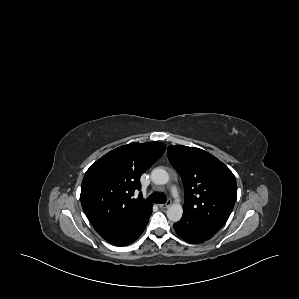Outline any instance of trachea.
Returning <instances> with one entry per match:
<instances>
[{"label": "trachea", "mask_w": 299, "mask_h": 299, "mask_svg": "<svg viewBox=\"0 0 299 299\" xmlns=\"http://www.w3.org/2000/svg\"><path fill=\"white\" fill-rule=\"evenodd\" d=\"M147 200L149 202H152V203H161V204H164L167 199L164 195L162 194H157V193H152L148 198Z\"/></svg>", "instance_id": "trachea-1"}]
</instances>
